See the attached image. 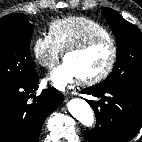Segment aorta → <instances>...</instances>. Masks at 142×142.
I'll list each match as a JSON object with an SVG mask.
<instances>
[{"instance_id":"1","label":"aorta","mask_w":142,"mask_h":142,"mask_svg":"<svg viewBox=\"0 0 142 142\" xmlns=\"http://www.w3.org/2000/svg\"><path fill=\"white\" fill-rule=\"evenodd\" d=\"M70 114L87 127L94 124V114L90 105L83 99L74 98L67 103Z\"/></svg>"}]
</instances>
